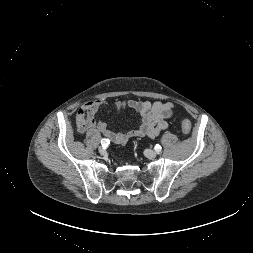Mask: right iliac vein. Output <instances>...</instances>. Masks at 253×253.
<instances>
[{"label":"right iliac vein","instance_id":"obj_1","mask_svg":"<svg viewBox=\"0 0 253 253\" xmlns=\"http://www.w3.org/2000/svg\"><path fill=\"white\" fill-rule=\"evenodd\" d=\"M99 153L101 155H105L106 154V150L103 147H99Z\"/></svg>","mask_w":253,"mask_h":253}]
</instances>
